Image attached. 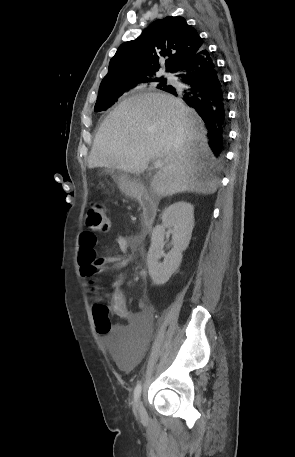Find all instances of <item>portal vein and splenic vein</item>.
Segmentation results:
<instances>
[{
  "mask_svg": "<svg viewBox=\"0 0 295 457\" xmlns=\"http://www.w3.org/2000/svg\"><path fill=\"white\" fill-rule=\"evenodd\" d=\"M163 166H164V162H163L162 160H160V159H158V160H156V161L154 162V167H155V168H161V167H163Z\"/></svg>",
  "mask_w": 295,
  "mask_h": 457,
  "instance_id": "portal-vein-and-splenic-vein-1",
  "label": "portal vein and splenic vein"
}]
</instances>
